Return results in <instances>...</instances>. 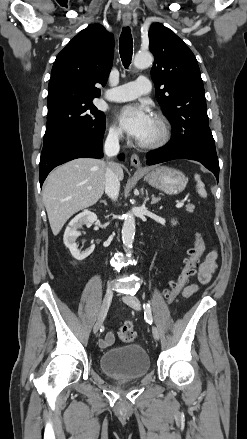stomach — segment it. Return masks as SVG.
<instances>
[{"instance_id":"0dacf381","label":"stomach","mask_w":247,"mask_h":439,"mask_svg":"<svg viewBox=\"0 0 247 439\" xmlns=\"http://www.w3.org/2000/svg\"><path fill=\"white\" fill-rule=\"evenodd\" d=\"M144 175L151 186L170 195L182 192L188 182L181 171L166 166L149 168L144 171Z\"/></svg>"}]
</instances>
